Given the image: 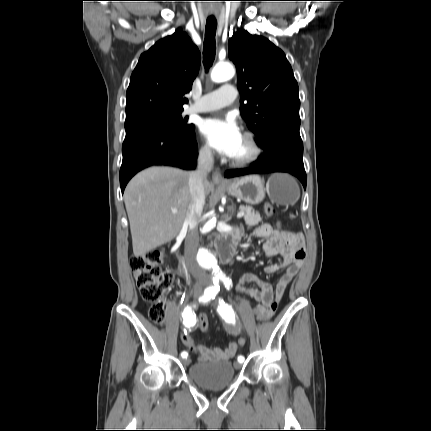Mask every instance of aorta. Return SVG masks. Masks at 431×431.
I'll return each mask as SVG.
<instances>
[{"instance_id": "aorta-1", "label": "aorta", "mask_w": 431, "mask_h": 431, "mask_svg": "<svg viewBox=\"0 0 431 431\" xmlns=\"http://www.w3.org/2000/svg\"><path fill=\"white\" fill-rule=\"evenodd\" d=\"M235 74L233 66L229 63L217 64L211 73V79L214 82L220 83L231 79ZM216 225V217H213L201 228L202 235L212 234ZM197 261L199 266L212 273L213 285H217L224 275L218 265L215 255L206 247H201L197 254Z\"/></svg>"}]
</instances>
